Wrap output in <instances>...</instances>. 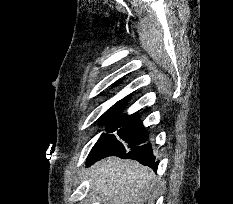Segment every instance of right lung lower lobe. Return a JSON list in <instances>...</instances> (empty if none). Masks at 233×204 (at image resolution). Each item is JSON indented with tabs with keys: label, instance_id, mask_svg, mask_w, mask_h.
Segmentation results:
<instances>
[{
	"label": "right lung lower lobe",
	"instance_id": "1",
	"mask_svg": "<svg viewBox=\"0 0 233 204\" xmlns=\"http://www.w3.org/2000/svg\"><path fill=\"white\" fill-rule=\"evenodd\" d=\"M152 146L150 143H143L130 148L129 150L109 151L103 148L93 147L88 159L87 165L92 164L102 158L108 156H118L120 158H129L139 161L141 164L147 165L154 170H157L159 161H155V156L152 153Z\"/></svg>",
	"mask_w": 233,
	"mask_h": 204
}]
</instances>
